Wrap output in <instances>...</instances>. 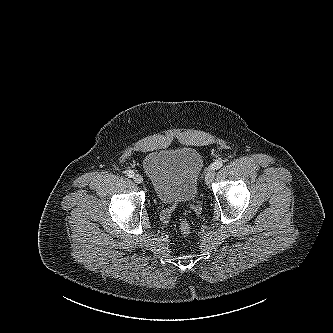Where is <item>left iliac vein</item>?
Masks as SVG:
<instances>
[{
    "label": "left iliac vein",
    "mask_w": 333,
    "mask_h": 333,
    "mask_svg": "<svg viewBox=\"0 0 333 333\" xmlns=\"http://www.w3.org/2000/svg\"><path fill=\"white\" fill-rule=\"evenodd\" d=\"M215 169L209 168L206 175H205V181L207 184H210L214 178H215Z\"/></svg>",
    "instance_id": "obj_1"
}]
</instances>
